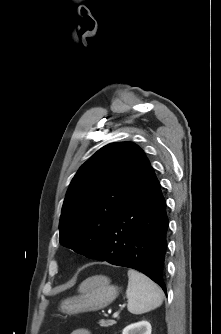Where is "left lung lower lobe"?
I'll return each mask as SVG.
<instances>
[{
    "label": "left lung lower lobe",
    "mask_w": 221,
    "mask_h": 334,
    "mask_svg": "<svg viewBox=\"0 0 221 334\" xmlns=\"http://www.w3.org/2000/svg\"><path fill=\"white\" fill-rule=\"evenodd\" d=\"M168 225L166 202L150 167L113 218L97 259L141 271L166 294Z\"/></svg>",
    "instance_id": "left-lung-lower-lobe-1"
}]
</instances>
